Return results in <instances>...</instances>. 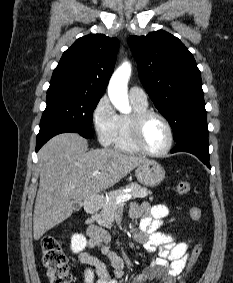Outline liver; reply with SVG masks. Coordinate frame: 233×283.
I'll return each instance as SVG.
<instances>
[{
    "instance_id": "liver-1",
    "label": "liver",
    "mask_w": 233,
    "mask_h": 283,
    "mask_svg": "<svg viewBox=\"0 0 233 283\" xmlns=\"http://www.w3.org/2000/svg\"><path fill=\"white\" fill-rule=\"evenodd\" d=\"M145 157L111 149L88 151V142L76 133L51 138L38 152L39 189L33 215V237L69 218L75 204L117 184ZM94 171L100 174L93 176Z\"/></svg>"
}]
</instances>
